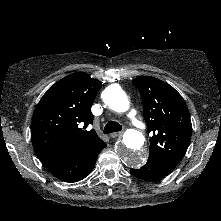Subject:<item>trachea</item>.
Listing matches in <instances>:
<instances>
[{
  "mask_svg": "<svg viewBox=\"0 0 221 221\" xmlns=\"http://www.w3.org/2000/svg\"><path fill=\"white\" fill-rule=\"evenodd\" d=\"M120 130H122V126H121L118 122L109 121V122L106 124V126H105L103 132H104V133H112V132H118V131H120Z\"/></svg>",
  "mask_w": 221,
  "mask_h": 221,
  "instance_id": "trachea-1",
  "label": "trachea"
}]
</instances>
